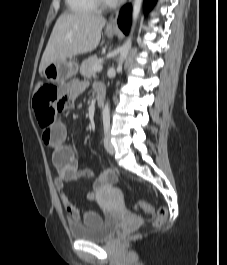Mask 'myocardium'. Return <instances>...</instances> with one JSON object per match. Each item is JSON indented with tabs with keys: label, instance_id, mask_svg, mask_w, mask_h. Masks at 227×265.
I'll list each match as a JSON object with an SVG mask.
<instances>
[{
	"label": "myocardium",
	"instance_id": "obj_1",
	"mask_svg": "<svg viewBox=\"0 0 227 265\" xmlns=\"http://www.w3.org/2000/svg\"><path fill=\"white\" fill-rule=\"evenodd\" d=\"M94 2L98 7H103V8L109 7L112 4V2L109 0H94Z\"/></svg>",
	"mask_w": 227,
	"mask_h": 265
}]
</instances>
